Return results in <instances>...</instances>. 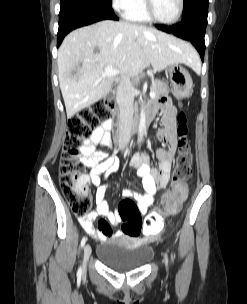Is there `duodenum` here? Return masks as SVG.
I'll list each match as a JSON object with an SVG mask.
<instances>
[{
  "instance_id": "410a0bca",
  "label": "duodenum",
  "mask_w": 247,
  "mask_h": 304,
  "mask_svg": "<svg viewBox=\"0 0 247 304\" xmlns=\"http://www.w3.org/2000/svg\"><path fill=\"white\" fill-rule=\"evenodd\" d=\"M155 116V111H153L152 109L148 108L145 112V120L146 122H150ZM119 110L117 109L115 111V115L112 116V119H113V141H115L114 143L117 145L119 142L117 141L118 139V136H119ZM135 119H138V116H135ZM141 125V124H140ZM132 128V127H131ZM140 128V127H138ZM145 128V127H144ZM133 129H137V126H133ZM146 129H149V126H146Z\"/></svg>"
}]
</instances>
